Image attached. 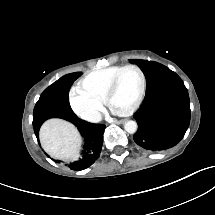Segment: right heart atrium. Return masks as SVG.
<instances>
[{
  "mask_svg": "<svg viewBox=\"0 0 215 215\" xmlns=\"http://www.w3.org/2000/svg\"><path fill=\"white\" fill-rule=\"evenodd\" d=\"M69 106L83 120L95 122L100 117V103L87 92L72 90L69 98Z\"/></svg>",
  "mask_w": 215,
  "mask_h": 215,
  "instance_id": "right-heart-atrium-1",
  "label": "right heart atrium"
}]
</instances>
